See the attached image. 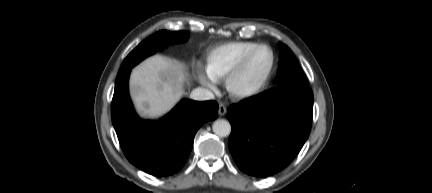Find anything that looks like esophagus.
Wrapping results in <instances>:
<instances>
[{
  "label": "esophagus",
  "instance_id": "1",
  "mask_svg": "<svg viewBox=\"0 0 432 193\" xmlns=\"http://www.w3.org/2000/svg\"><path fill=\"white\" fill-rule=\"evenodd\" d=\"M227 112V108L223 103L219 104V108H218V114L219 116H224Z\"/></svg>",
  "mask_w": 432,
  "mask_h": 193
}]
</instances>
